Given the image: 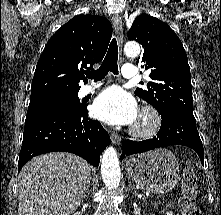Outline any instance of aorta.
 <instances>
[{
  "label": "aorta",
  "mask_w": 221,
  "mask_h": 215,
  "mask_svg": "<svg viewBox=\"0 0 221 215\" xmlns=\"http://www.w3.org/2000/svg\"><path fill=\"white\" fill-rule=\"evenodd\" d=\"M124 52L127 57H137L140 54V46L136 42H128L124 47ZM101 175L105 186L109 189H116L120 184L121 173L118 155L116 150L108 147L101 159Z\"/></svg>",
  "instance_id": "aorta-1"
}]
</instances>
